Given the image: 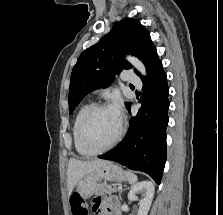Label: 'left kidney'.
Returning <instances> with one entry per match:
<instances>
[{
	"instance_id": "obj_1",
	"label": "left kidney",
	"mask_w": 223,
	"mask_h": 215,
	"mask_svg": "<svg viewBox=\"0 0 223 215\" xmlns=\"http://www.w3.org/2000/svg\"><path fill=\"white\" fill-rule=\"evenodd\" d=\"M154 191L155 187L152 181H138L136 185H132L128 193V199H130V201H134V199H137L136 193H145V197H143V199H140L139 201V209L137 215H147L151 207Z\"/></svg>"
}]
</instances>
